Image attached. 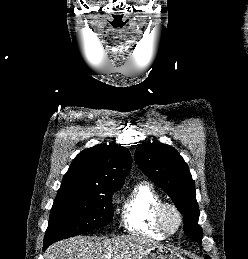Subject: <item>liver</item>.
I'll list each match as a JSON object with an SVG mask.
<instances>
[{"instance_id":"liver-1","label":"liver","mask_w":248,"mask_h":259,"mask_svg":"<svg viewBox=\"0 0 248 259\" xmlns=\"http://www.w3.org/2000/svg\"><path fill=\"white\" fill-rule=\"evenodd\" d=\"M158 242L135 235L103 238L93 241L91 237L78 236L52 244L45 259H140Z\"/></svg>"}]
</instances>
